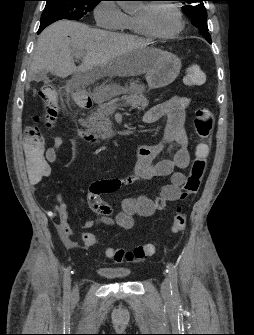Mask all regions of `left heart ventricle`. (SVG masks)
<instances>
[{
  "instance_id": "obj_1",
  "label": "left heart ventricle",
  "mask_w": 254,
  "mask_h": 335,
  "mask_svg": "<svg viewBox=\"0 0 254 335\" xmlns=\"http://www.w3.org/2000/svg\"><path fill=\"white\" fill-rule=\"evenodd\" d=\"M136 15L145 17L150 27L159 33H170L178 25L176 14L166 5H156L150 10L142 5Z\"/></svg>"
}]
</instances>
